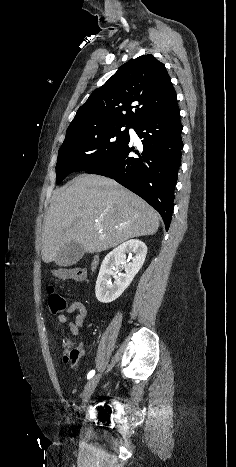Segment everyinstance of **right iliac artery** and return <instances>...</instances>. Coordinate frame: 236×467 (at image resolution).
I'll use <instances>...</instances> for the list:
<instances>
[{
  "label": "right iliac artery",
  "mask_w": 236,
  "mask_h": 467,
  "mask_svg": "<svg viewBox=\"0 0 236 467\" xmlns=\"http://www.w3.org/2000/svg\"><path fill=\"white\" fill-rule=\"evenodd\" d=\"M94 374H95V370H91L87 375V379L92 378L94 376Z\"/></svg>",
  "instance_id": "right-iliac-artery-1"
}]
</instances>
